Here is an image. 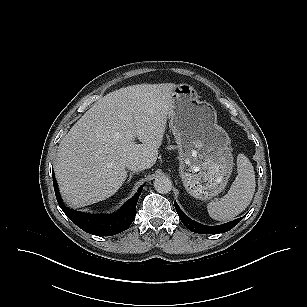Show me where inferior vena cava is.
I'll return each mask as SVG.
<instances>
[{"label":"inferior vena cava","instance_id":"1","mask_svg":"<svg viewBox=\"0 0 307 307\" xmlns=\"http://www.w3.org/2000/svg\"><path fill=\"white\" fill-rule=\"evenodd\" d=\"M126 168L131 170V171H141L145 169L144 163L138 160H129L125 164Z\"/></svg>","mask_w":307,"mask_h":307}]
</instances>
